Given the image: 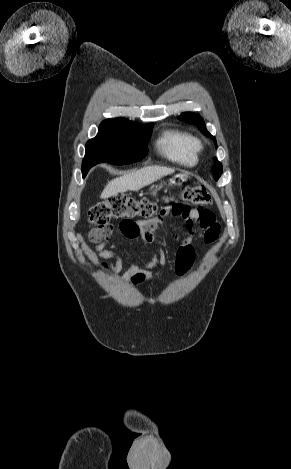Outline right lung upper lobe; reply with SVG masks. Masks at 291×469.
<instances>
[{
    "label": "right lung upper lobe",
    "instance_id": "cb5924a9",
    "mask_svg": "<svg viewBox=\"0 0 291 469\" xmlns=\"http://www.w3.org/2000/svg\"><path fill=\"white\" fill-rule=\"evenodd\" d=\"M109 120H114V121H128V120L123 119V118H116V119H109Z\"/></svg>",
    "mask_w": 291,
    "mask_h": 469
}]
</instances>
